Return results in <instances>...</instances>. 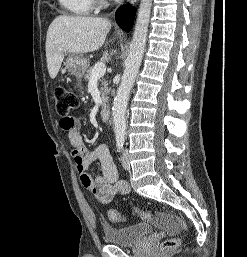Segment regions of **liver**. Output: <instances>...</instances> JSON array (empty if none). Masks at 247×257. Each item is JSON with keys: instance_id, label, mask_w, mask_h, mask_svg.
Here are the masks:
<instances>
[{"instance_id": "6515ba94", "label": "liver", "mask_w": 247, "mask_h": 257, "mask_svg": "<svg viewBox=\"0 0 247 257\" xmlns=\"http://www.w3.org/2000/svg\"><path fill=\"white\" fill-rule=\"evenodd\" d=\"M111 29L107 19L61 15L50 24L46 36V60L54 79L67 53L83 54L98 50Z\"/></svg>"}]
</instances>
